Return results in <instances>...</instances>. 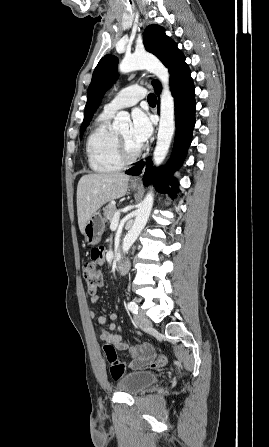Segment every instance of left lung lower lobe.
Listing matches in <instances>:
<instances>
[{"instance_id": "obj_1", "label": "left lung lower lobe", "mask_w": 269, "mask_h": 447, "mask_svg": "<svg viewBox=\"0 0 269 447\" xmlns=\"http://www.w3.org/2000/svg\"><path fill=\"white\" fill-rule=\"evenodd\" d=\"M170 90L175 102L176 134L172 156L164 168L154 169L152 161L149 159L146 164V171L143 176V183L148 186L153 183L157 191L176 195L179 191L177 182L172 176L183 163L187 149L192 140V131L195 125V93L191 72L185 63V57L180 54L170 71ZM161 86L155 88L159 94ZM159 105V102H158ZM145 163L142 161L136 166L126 171L129 175H139ZM172 186V189L168 187Z\"/></svg>"}]
</instances>
